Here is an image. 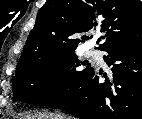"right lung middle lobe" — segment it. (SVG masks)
<instances>
[{
  "instance_id": "obj_1",
  "label": "right lung middle lobe",
  "mask_w": 142,
  "mask_h": 119,
  "mask_svg": "<svg viewBox=\"0 0 142 119\" xmlns=\"http://www.w3.org/2000/svg\"><path fill=\"white\" fill-rule=\"evenodd\" d=\"M81 64L86 65L75 51H68L47 55L17 70L12 80L15 100L51 107L76 90L92 70H81Z\"/></svg>"
}]
</instances>
